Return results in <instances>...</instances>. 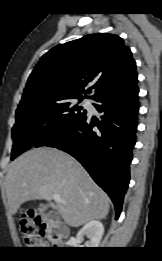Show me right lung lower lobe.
Segmentation results:
<instances>
[{
  "instance_id": "1",
  "label": "right lung lower lobe",
  "mask_w": 162,
  "mask_h": 261,
  "mask_svg": "<svg viewBox=\"0 0 162 261\" xmlns=\"http://www.w3.org/2000/svg\"><path fill=\"white\" fill-rule=\"evenodd\" d=\"M137 85L104 94L94 104L103 112L98 121L85 115L51 133L34 147L49 146L75 157L94 181L110 196L119 217L130 181L129 165L135 145L138 120ZM95 126L98 130L93 129Z\"/></svg>"
}]
</instances>
